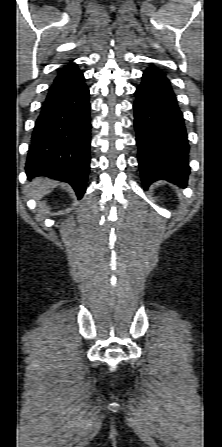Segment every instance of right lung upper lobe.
<instances>
[{
    "instance_id": "obj_1",
    "label": "right lung upper lobe",
    "mask_w": 222,
    "mask_h": 447,
    "mask_svg": "<svg viewBox=\"0 0 222 447\" xmlns=\"http://www.w3.org/2000/svg\"><path fill=\"white\" fill-rule=\"evenodd\" d=\"M69 67H70V64L64 66V67L59 71V74L57 75V77H59V76H61L62 74H64V73L68 70ZM57 77H56V78H57Z\"/></svg>"
}]
</instances>
